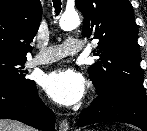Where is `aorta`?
<instances>
[{
    "label": "aorta",
    "mask_w": 147,
    "mask_h": 131,
    "mask_svg": "<svg viewBox=\"0 0 147 131\" xmlns=\"http://www.w3.org/2000/svg\"><path fill=\"white\" fill-rule=\"evenodd\" d=\"M80 24V18L77 12H65L59 22L62 30L70 31L75 29Z\"/></svg>",
    "instance_id": "1"
}]
</instances>
